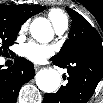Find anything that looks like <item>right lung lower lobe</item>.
I'll use <instances>...</instances> for the list:
<instances>
[{
    "mask_svg": "<svg viewBox=\"0 0 103 103\" xmlns=\"http://www.w3.org/2000/svg\"><path fill=\"white\" fill-rule=\"evenodd\" d=\"M34 73L33 64L19 57L12 67L0 69V103H15L21 86L31 80Z\"/></svg>",
    "mask_w": 103,
    "mask_h": 103,
    "instance_id": "1",
    "label": "right lung lower lobe"
}]
</instances>
